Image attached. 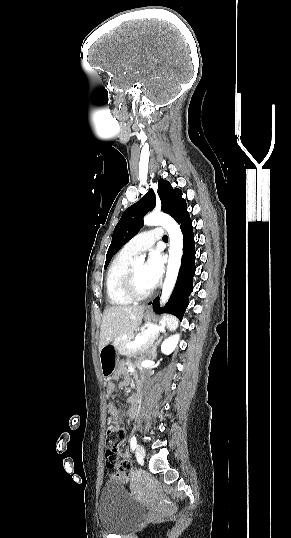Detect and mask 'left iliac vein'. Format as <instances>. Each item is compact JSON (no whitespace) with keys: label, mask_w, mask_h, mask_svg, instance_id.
<instances>
[{"label":"left iliac vein","mask_w":291,"mask_h":538,"mask_svg":"<svg viewBox=\"0 0 291 538\" xmlns=\"http://www.w3.org/2000/svg\"><path fill=\"white\" fill-rule=\"evenodd\" d=\"M136 456L139 460H143L145 457V449L141 445L136 446Z\"/></svg>","instance_id":"left-iliac-vein-1"}]
</instances>
